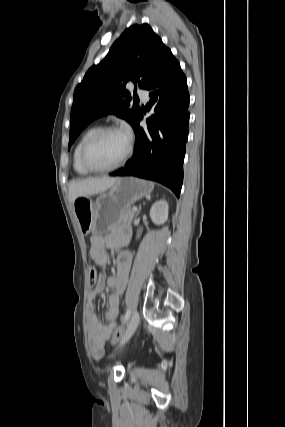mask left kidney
Instances as JSON below:
<instances>
[{"instance_id":"1","label":"left kidney","mask_w":285,"mask_h":427,"mask_svg":"<svg viewBox=\"0 0 285 427\" xmlns=\"http://www.w3.org/2000/svg\"><path fill=\"white\" fill-rule=\"evenodd\" d=\"M151 220L161 225L168 219V203L165 200H159L153 204L150 209Z\"/></svg>"}]
</instances>
